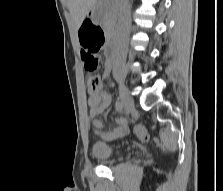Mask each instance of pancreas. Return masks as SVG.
Wrapping results in <instances>:
<instances>
[{
	"mask_svg": "<svg viewBox=\"0 0 223 191\" xmlns=\"http://www.w3.org/2000/svg\"><path fill=\"white\" fill-rule=\"evenodd\" d=\"M113 16L112 9L109 6H105L103 9V24L105 28H109L112 25Z\"/></svg>",
	"mask_w": 223,
	"mask_h": 191,
	"instance_id": "1",
	"label": "pancreas"
}]
</instances>
